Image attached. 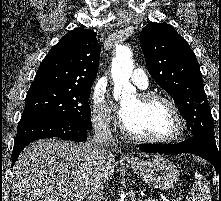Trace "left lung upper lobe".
<instances>
[{
    "mask_svg": "<svg viewBox=\"0 0 221 201\" xmlns=\"http://www.w3.org/2000/svg\"><path fill=\"white\" fill-rule=\"evenodd\" d=\"M147 69L175 101L190 136L216 144L209 104L196 56L187 41L166 23H149L141 32Z\"/></svg>",
    "mask_w": 221,
    "mask_h": 201,
    "instance_id": "5c2ea615",
    "label": "left lung upper lobe"
}]
</instances>
